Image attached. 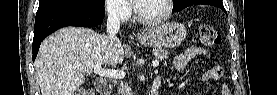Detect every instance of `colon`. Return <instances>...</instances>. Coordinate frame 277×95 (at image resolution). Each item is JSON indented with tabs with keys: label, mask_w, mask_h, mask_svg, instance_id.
Returning <instances> with one entry per match:
<instances>
[{
	"label": "colon",
	"mask_w": 277,
	"mask_h": 95,
	"mask_svg": "<svg viewBox=\"0 0 277 95\" xmlns=\"http://www.w3.org/2000/svg\"><path fill=\"white\" fill-rule=\"evenodd\" d=\"M198 45L201 48H209L219 45L221 43V35L213 27L205 25L198 30ZM77 95H93L94 93L88 89H79Z\"/></svg>",
	"instance_id": "obj_1"
}]
</instances>
